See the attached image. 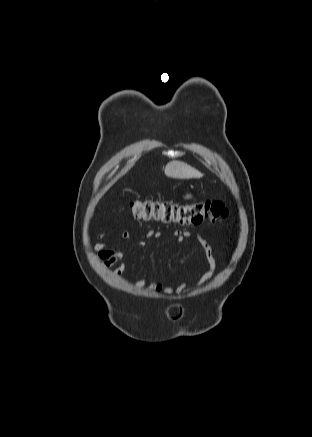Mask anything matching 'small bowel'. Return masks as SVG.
<instances>
[{
    "instance_id": "small-bowel-1",
    "label": "small bowel",
    "mask_w": 312,
    "mask_h": 437,
    "mask_svg": "<svg viewBox=\"0 0 312 437\" xmlns=\"http://www.w3.org/2000/svg\"><path fill=\"white\" fill-rule=\"evenodd\" d=\"M119 234L125 240L136 241V244L139 246H143L145 244L143 240H138L136 237H134L127 231H121ZM105 236H106L105 232L100 233L97 236L99 242L95 244L94 249L98 257L102 260L103 267L110 268L114 265H118V267L114 271V274L116 276H119L124 270V263H123L124 254L121 250L115 248L113 244L100 242V240H102ZM161 236H162L161 232L155 230H149L143 235L144 238H149V239H159ZM174 236L176 237L179 243H182L185 240L192 238V234L189 231L177 230L174 232ZM197 241L206 251L209 261L208 271L201 277V279L197 283V286H200L210 278L212 271L214 269V261L212 258L211 247L208 244V242L200 235L197 236ZM143 285H144L143 281L137 283V287H142ZM147 289L152 290L154 292H160L163 290L162 285L160 283L149 285ZM186 290H188L187 283H182L181 285L175 288H168L165 291L167 293H182L185 292Z\"/></svg>"
}]
</instances>
